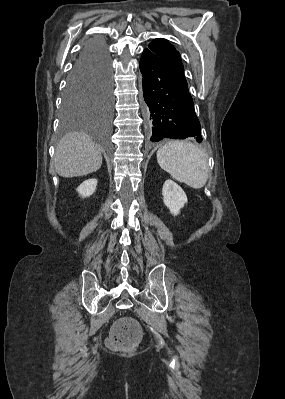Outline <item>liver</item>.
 Masks as SVG:
<instances>
[{
  "label": "liver",
  "mask_w": 285,
  "mask_h": 399,
  "mask_svg": "<svg viewBox=\"0 0 285 399\" xmlns=\"http://www.w3.org/2000/svg\"><path fill=\"white\" fill-rule=\"evenodd\" d=\"M102 149L80 132L66 134L57 144L54 165L62 177H78L97 171L102 165Z\"/></svg>",
  "instance_id": "liver-1"
}]
</instances>
